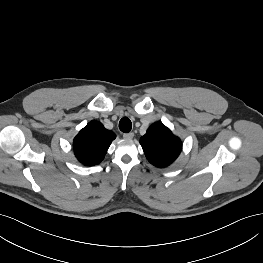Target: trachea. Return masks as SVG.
<instances>
[{"label": "trachea", "instance_id": "3493384b", "mask_svg": "<svg viewBox=\"0 0 263 263\" xmlns=\"http://www.w3.org/2000/svg\"><path fill=\"white\" fill-rule=\"evenodd\" d=\"M119 129L124 133H129L132 129V123L129 118L124 117L119 122Z\"/></svg>", "mask_w": 263, "mask_h": 263}]
</instances>
